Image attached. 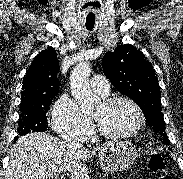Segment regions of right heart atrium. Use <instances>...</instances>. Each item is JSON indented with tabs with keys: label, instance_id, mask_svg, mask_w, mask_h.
Masks as SVG:
<instances>
[{
	"label": "right heart atrium",
	"instance_id": "right-heart-atrium-1",
	"mask_svg": "<svg viewBox=\"0 0 183 179\" xmlns=\"http://www.w3.org/2000/svg\"><path fill=\"white\" fill-rule=\"evenodd\" d=\"M52 126L55 132L64 138H84L93 130L92 121L70 96H62L54 104Z\"/></svg>",
	"mask_w": 183,
	"mask_h": 179
}]
</instances>
